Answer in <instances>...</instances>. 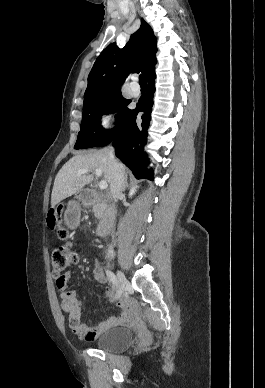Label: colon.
Segmentation results:
<instances>
[{"instance_id": "obj_1", "label": "colon", "mask_w": 265, "mask_h": 388, "mask_svg": "<svg viewBox=\"0 0 265 388\" xmlns=\"http://www.w3.org/2000/svg\"><path fill=\"white\" fill-rule=\"evenodd\" d=\"M61 210L62 206L52 210L48 219L50 227L57 229L60 238L67 242L65 246L54 249L51 257L52 274L59 290L64 286L65 271L78 259L77 253L68 243L70 240V233L60 225Z\"/></svg>"}]
</instances>
